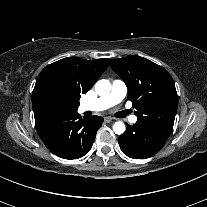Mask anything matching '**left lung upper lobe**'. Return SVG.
I'll use <instances>...</instances> for the list:
<instances>
[{"label":"left lung upper lobe","mask_w":207,"mask_h":207,"mask_svg":"<svg viewBox=\"0 0 207 207\" xmlns=\"http://www.w3.org/2000/svg\"><path fill=\"white\" fill-rule=\"evenodd\" d=\"M109 64L126 83L138 120L173 126L177 92L163 67L136 55L109 60Z\"/></svg>","instance_id":"5c2ea615"}]
</instances>
